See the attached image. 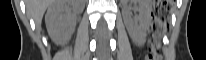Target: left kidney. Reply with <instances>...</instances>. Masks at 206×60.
Listing matches in <instances>:
<instances>
[{
    "instance_id": "left-kidney-1",
    "label": "left kidney",
    "mask_w": 206,
    "mask_h": 60,
    "mask_svg": "<svg viewBox=\"0 0 206 60\" xmlns=\"http://www.w3.org/2000/svg\"><path fill=\"white\" fill-rule=\"evenodd\" d=\"M139 16L133 18L129 10L124 11V21L131 38L140 43L150 23L151 0H137Z\"/></svg>"
}]
</instances>
